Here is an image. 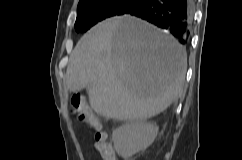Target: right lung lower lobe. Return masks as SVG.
I'll list each match as a JSON object with an SVG mask.
<instances>
[{
	"label": "right lung lower lobe",
	"mask_w": 242,
	"mask_h": 160,
	"mask_svg": "<svg viewBox=\"0 0 242 160\" xmlns=\"http://www.w3.org/2000/svg\"><path fill=\"white\" fill-rule=\"evenodd\" d=\"M125 14L166 29L180 43L186 44L192 24L193 0H141Z\"/></svg>",
	"instance_id": "obj_1"
}]
</instances>
